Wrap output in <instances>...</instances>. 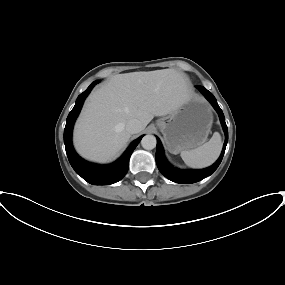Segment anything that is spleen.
<instances>
[{"label": "spleen", "mask_w": 285, "mask_h": 285, "mask_svg": "<svg viewBox=\"0 0 285 285\" xmlns=\"http://www.w3.org/2000/svg\"><path fill=\"white\" fill-rule=\"evenodd\" d=\"M221 149V136L215 132L208 142L196 149L182 151L180 156L185 164L192 168H205L217 160Z\"/></svg>", "instance_id": "1"}]
</instances>
